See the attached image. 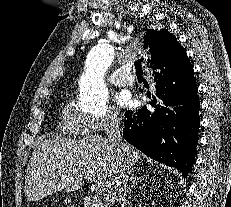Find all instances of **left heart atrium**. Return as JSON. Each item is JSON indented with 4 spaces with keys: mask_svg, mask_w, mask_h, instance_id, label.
<instances>
[{
    "mask_svg": "<svg viewBox=\"0 0 231 207\" xmlns=\"http://www.w3.org/2000/svg\"><path fill=\"white\" fill-rule=\"evenodd\" d=\"M115 101L119 107H127L131 103V95L127 91H122L116 96Z\"/></svg>",
    "mask_w": 231,
    "mask_h": 207,
    "instance_id": "1",
    "label": "left heart atrium"
}]
</instances>
